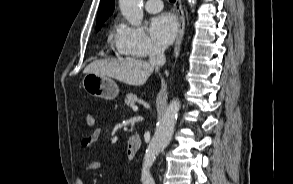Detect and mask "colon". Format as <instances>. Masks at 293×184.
I'll list each match as a JSON object with an SVG mask.
<instances>
[{
  "mask_svg": "<svg viewBox=\"0 0 293 184\" xmlns=\"http://www.w3.org/2000/svg\"><path fill=\"white\" fill-rule=\"evenodd\" d=\"M86 123L88 126H93L95 124V118L92 114H88L86 117Z\"/></svg>",
  "mask_w": 293,
  "mask_h": 184,
  "instance_id": "colon-1",
  "label": "colon"
}]
</instances>
